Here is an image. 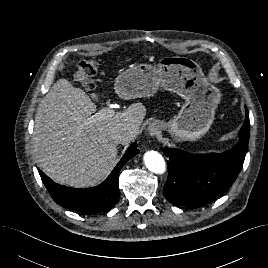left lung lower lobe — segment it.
Masks as SVG:
<instances>
[{"instance_id":"1","label":"left lung lower lobe","mask_w":268,"mask_h":268,"mask_svg":"<svg viewBox=\"0 0 268 268\" xmlns=\"http://www.w3.org/2000/svg\"><path fill=\"white\" fill-rule=\"evenodd\" d=\"M249 115L239 131V141L221 153L191 154L179 149L162 148L169 158L168 180L163 194L172 204L202 206L222 195L237 178L249 141Z\"/></svg>"}]
</instances>
